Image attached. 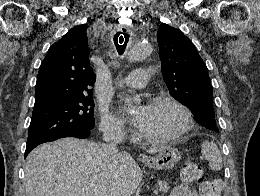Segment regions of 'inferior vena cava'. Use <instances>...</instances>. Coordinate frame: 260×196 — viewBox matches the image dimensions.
Listing matches in <instances>:
<instances>
[{"label":"inferior vena cava","instance_id":"inferior-vena-cava-1","mask_svg":"<svg viewBox=\"0 0 260 196\" xmlns=\"http://www.w3.org/2000/svg\"><path fill=\"white\" fill-rule=\"evenodd\" d=\"M103 140L105 142L103 146L106 148L109 156L118 154L117 144H121V142H123V136L120 130H109V132H104ZM108 196H120V194L116 188H113V190L109 192Z\"/></svg>","mask_w":260,"mask_h":196}]
</instances>
